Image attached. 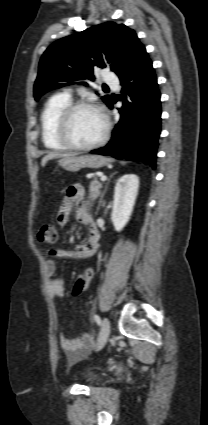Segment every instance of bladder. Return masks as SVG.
Instances as JSON below:
<instances>
[{
    "label": "bladder",
    "instance_id": "31cf9c89",
    "mask_svg": "<svg viewBox=\"0 0 208 425\" xmlns=\"http://www.w3.org/2000/svg\"><path fill=\"white\" fill-rule=\"evenodd\" d=\"M97 380H98V376L96 373L89 371L85 374L86 384H89V385L95 384Z\"/></svg>",
    "mask_w": 208,
    "mask_h": 425
}]
</instances>
